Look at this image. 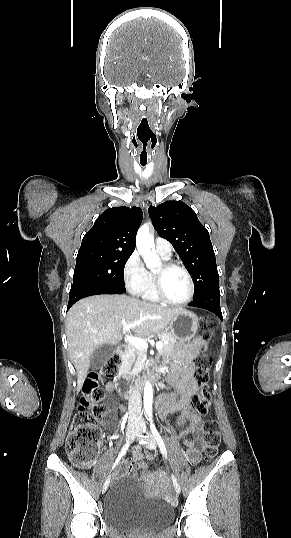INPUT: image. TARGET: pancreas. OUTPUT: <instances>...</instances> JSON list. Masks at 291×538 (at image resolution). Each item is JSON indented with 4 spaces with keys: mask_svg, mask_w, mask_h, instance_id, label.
Wrapping results in <instances>:
<instances>
[{
    "mask_svg": "<svg viewBox=\"0 0 291 538\" xmlns=\"http://www.w3.org/2000/svg\"><path fill=\"white\" fill-rule=\"evenodd\" d=\"M160 340H168V344H163L161 348L158 349L160 354L167 353L171 351L176 342V338L170 332H161L158 334ZM146 356L144 350L137 349L133 347L130 351L124 353L125 360L130 359L134 363V371L139 372L143 368L144 362L143 359Z\"/></svg>",
    "mask_w": 291,
    "mask_h": 538,
    "instance_id": "1",
    "label": "pancreas"
}]
</instances>
